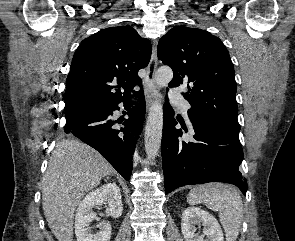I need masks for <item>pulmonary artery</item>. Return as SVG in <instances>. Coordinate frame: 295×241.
<instances>
[{"label": "pulmonary artery", "instance_id": "pulmonary-artery-1", "mask_svg": "<svg viewBox=\"0 0 295 241\" xmlns=\"http://www.w3.org/2000/svg\"><path fill=\"white\" fill-rule=\"evenodd\" d=\"M170 99L171 101L177 105L179 108L182 109L183 113L187 115L188 109L190 107L188 101H186L183 96L180 94V92L176 90H172L170 92Z\"/></svg>", "mask_w": 295, "mask_h": 241}]
</instances>
